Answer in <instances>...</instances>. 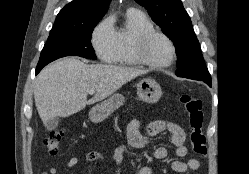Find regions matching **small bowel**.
<instances>
[{
  "label": "small bowel",
  "mask_w": 249,
  "mask_h": 174,
  "mask_svg": "<svg viewBox=\"0 0 249 174\" xmlns=\"http://www.w3.org/2000/svg\"><path fill=\"white\" fill-rule=\"evenodd\" d=\"M140 122L133 120L130 122L127 129V143L117 147L112 155L115 165V174H121V168L124 160L125 152L129 148L143 147L147 143L146 137L140 131ZM167 130L170 133V143L175 149V155L178 158L187 156V148L185 146V132L176 123L168 120H155L147 126L146 132L148 136H154L160 132ZM154 159H164L168 156V150L165 147H157L150 153ZM85 160L88 162L104 160V155L97 151H92L86 154ZM80 162L78 157H72L68 160L66 167L68 169L75 167ZM200 162L196 158H189L187 161L174 160L171 162V169L178 173H186L195 171L199 168ZM48 174V173H43ZM49 174H59L56 167H51ZM136 174H154L150 167L137 168Z\"/></svg>",
  "instance_id": "small-bowel-1"
}]
</instances>
